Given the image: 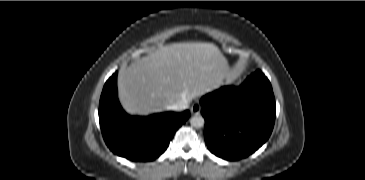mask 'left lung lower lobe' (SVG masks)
<instances>
[{"instance_id": "left-lung-lower-lobe-1", "label": "left lung lower lobe", "mask_w": 365, "mask_h": 180, "mask_svg": "<svg viewBox=\"0 0 365 180\" xmlns=\"http://www.w3.org/2000/svg\"><path fill=\"white\" fill-rule=\"evenodd\" d=\"M209 150L225 160L245 158L261 147L274 127L276 106L267 77L256 71L239 87L224 86L201 99Z\"/></svg>"}]
</instances>
